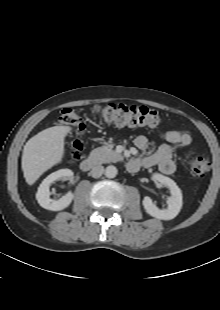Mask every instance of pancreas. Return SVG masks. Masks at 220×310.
I'll list each match as a JSON object with an SVG mask.
<instances>
[{
    "label": "pancreas",
    "mask_w": 220,
    "mask_h": 310,
    "mask_svg": "<svg viewBox=\"0 0 220 310\" xmlns=\"http://www.w3.org/2000/svg\"><path fill=\"white\" fill-rule=\"evenodd\" d=\"M89 158L97 164L117 162L123 159L122 155L109 146L98 147L91 151Z\"/></svg>",
    "instance_id": "cf45deb5"
}]
</instances>
